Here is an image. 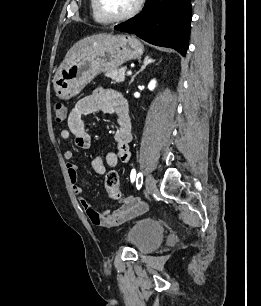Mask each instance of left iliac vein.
Here are the masks:
<instances>
[{
	"label": "left iliac vein",
	"instance_id": "1",
	"mask_svg": "<svg viewBox=\"0 0 261 306\" xmlns=\"http://www.w3.org/2000/svg\"><path fill=\"white\" fill-rule=\"evenodd\" d=\"M156 189V181L151 174L146 177V191L147 195H150Z\"/></svg>",
	"mask_w": 261,
	"mask_h": 306
}]
</instances>
